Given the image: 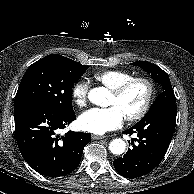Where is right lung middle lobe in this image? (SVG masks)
Listing matches in <instances>:
<instances>
[{
	"instance_id": "1",
	"label": "right lung middle lobe",
	"mask_w": 194,
	"mask_h": 194,
	"mask_svg": "<svg viewBox=\"0 0 194 194\" xmlns=\"http://www.w3.org/2000/svg\"><path fill=\"white\" fill-rule=\"evenodd\" d=\"M87 69L88 66L64 56L47 55L25 72L15 96L14 108L39 104L58 112L73 109L72 88Z\"/></svg>"
}]
</instances>
